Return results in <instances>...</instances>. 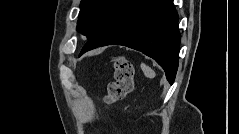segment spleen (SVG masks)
Listing matches in <instances>:
<instances>
[{"label": "spleen", "instance_id": "1", "mask_svg": "<svg viewBox=\"0 0 239 134\" xmlns=\"http://www.w3.org/2000/svg\"><path fill=\"white\" fill-rule=\"evenodd\" d=\"M140 66H141V69H142L144 75L147 78H154L156 76L154 70L152 68H150L149 66H147L146 64L141 63Z\"/></svg>", "mask_w": 239, "mask_h": 134}]
</instances>
